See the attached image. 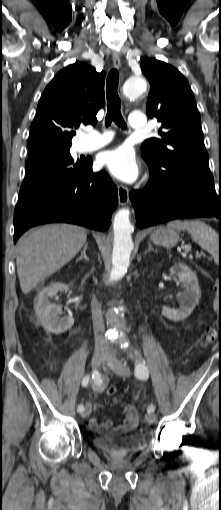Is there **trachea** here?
<instances>
[{
	"label": "trachea",
	"mask_w": 221,
	"mask_h": 510,
	"mask_svg": "<svg viewBox=\"0 0 221 510\" xmlns=\"http://www.w3.org/2000/svg\"><path fill=\"white\" fill-rule=\"evenodd\" d=\"M118 83H119V72L116 69H112L107 77L106 82V98H107V114L105 119V125L108 127L112 121L126 129V123L121 114V100L118 96Z\"/></svg>",
	"instance_id": "1"
}]
</instances>
